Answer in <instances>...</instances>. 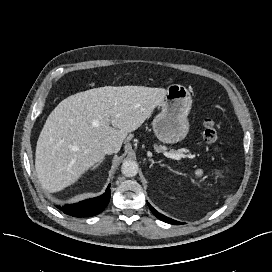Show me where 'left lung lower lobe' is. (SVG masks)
Instances as JSON below:
<instances>
[{
	"label": "left lung lower lobe",
	"instance_id": "obj_1",
	"mask_svg": "<svg viewBox=\"0 0 272 272\" xmlns=\"http://www.w3.org/2000/svg\"><path fill=\"white\" fill-rule=\"evenodd\" d=\"M148 206L150 208V210L152 211V213L160 220L162 221H165L167 223H170V224H176V225H180L182 224L181 222H178V221H175L173 219H170L162 214H160L159 212H157L149 203H148Z\"/></svg>",
	"mask_w": 272,
	"mask_h": 272
}]
</instances>
